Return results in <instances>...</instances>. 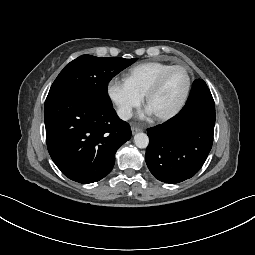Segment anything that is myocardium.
<instances>
[{
  "mask_svg": "<svg viewBox=\"0 0 255 255\" xmlns=\"http://www.w3.org/2000/svg\"><path fill=\"white\" fill-rule=\"evenodd\" d=\"M176 69H182L186 72L187 74V86L186 89L183 93V96L181 97L180 101L178 102V104L168 113L165 114H161V115H155V118L159 121H166L169 120L171 118H173L174 116H176L181 109L184 107L190 91H191V87H192V75L190 70L184 66V65H173L172 67H170L169 69H167L166 71H164L158 78L157 80L153 83V85L149 88V90L146 92L145 94V104L146 106H148L149 101L151 100V98L157 94L160 89L162 88L166 78L169 76V74L171 72H173Z\"/></svg>",
  "mask_w": 255,
  "mask_h": 255,
  "instance_id": "f54148a6",
  "label": "myocardium"
}]
</instances>
